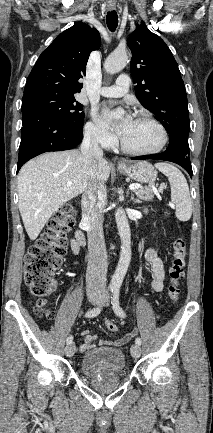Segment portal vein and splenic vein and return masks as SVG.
<instances>
[{"instance_id": "18ae733b", "label": "portal vein and splenic vein", "mask_w": 213, "mask_h": 433, "mask_svg": "<svg viewBox=\"0 0 213 433\" xmlns=\"http://www.w3.org/2000/svg\"><path fill=\"white\" fill-rule=\"evenodd\" d=\"M71 185H72L71 182H68V183H67V186H71ZM140 188H142V186L139 185V184H132V185L129 186V189H130V190H137V189H140Z\"/></svg>"}]
</instances>
